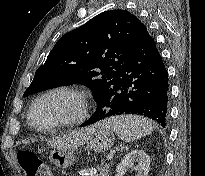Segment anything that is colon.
<instances>
[{
    "label": "colon",
    "mask_w": 205,
    "mask_h": 176,
    "mask_svg": "<svg viewBox=\"0 0 205 176\" xmlns=\"http://www.w3.org/2000/svg\"><path fill=\"white\" fill-rule=\"evenodd\" d=\"M23 176H49V169L31 150H19L16 155Z\"/></svg>",
    "instance_id": "obj_1"
}]
</instances>
